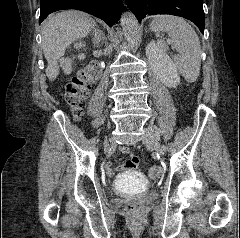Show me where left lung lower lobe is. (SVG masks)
<instances>
[{
	"mask_svg": "<svg viewBox=\"0 0 240 238\" xmlns=\"http://www.w3.org/2000/svg\"><path fill=\"white\" fill-rule=\"evenodd\" d=\"M203 0H126L140 22L146 15L170 14L189 19L201 32L205 28Z\"/></svg>",
	"mask_w": 240,
	"mask_h": 238,
	"instance_id": "left-lung-lower-lobe-1",
	"label": "left lung lower lobe"
}]
</instances>
